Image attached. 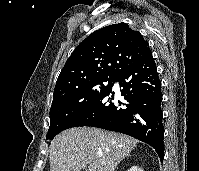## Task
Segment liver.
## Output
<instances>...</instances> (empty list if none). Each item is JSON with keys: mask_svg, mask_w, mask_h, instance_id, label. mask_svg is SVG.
I'll list each match as a JSON object with an SVG mask.
<instances>
[{"mask_svg": "<svg viewBox=\"0 0 199 171\" xmlns=\"http://www.w3.org/2000/svg\"><path fill=\"white\" fill-rule=\"evenodd\" d=\"M137 142L128 135L93 127L65 130L51 142L50 171H81L86 166L90 171H115Z\"/></svg>", "mask_w": 199, "mask_h": 171, "instance_id": "liver-1", "label": "liver"}]
</instances>
